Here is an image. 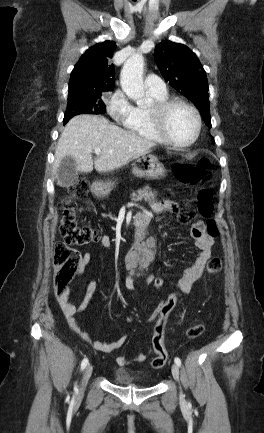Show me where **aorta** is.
I'll return each mask as SVG.
<instances>
[{
  "label": "aorta",
  "mask_w": 264,
  "mask_h": 433,
  "mask_svg": "<svg viewBox=\"0 0 264 433\" xmlns=\"http://www.w3.org/2000/svg\"><path fill=\"white\" fill-rule=\"evenodd\" d=\"M144 57L134 54L123 65L120 83L126 95L134 100L138 106L147 103L143 86Z\"/></svg>",
  "instance_id": "762f6f07"
}]
</instances>
